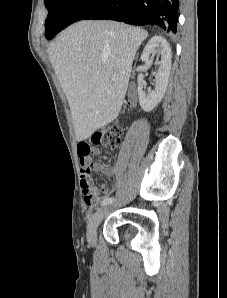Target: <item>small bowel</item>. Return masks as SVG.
<instances>
[{"mask_svg":"<svg viewBox=\"0 0 227 298\" xmlns=\"http://www.w3.org/2000/svg\"><path fill=\"white\" fill-rule=\"evenodd\" d=\"M77 151H78V158H80V163L82 165L81 186H82L83 192L85 191L84 186L88 185V187L93 192H95L96 194H99L98 190L91 185L89 171L92 170L95 172L102 173L108 177H114L117 173V168L105 166L98 162H91V158H90L91 155L99 154L100 151L98 146H89V142H78ZM100 191L104 197L110 194V189L106 185H103Z\"/></svg>","mask_w":227,"mask_h":298,"instance_id":"obj_1","label":"small bowel"}]
</instances>
